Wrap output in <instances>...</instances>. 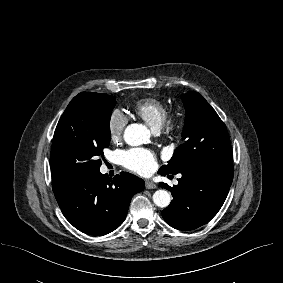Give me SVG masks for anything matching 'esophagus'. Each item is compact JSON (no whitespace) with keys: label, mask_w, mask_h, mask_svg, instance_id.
<instances>
[{"label":"esophagus","mask_w":283,"mask_h":283,"mask_svg":"<svg viewBox=\"0 0 283 283\" xmlns=\"http://www.w3.org/2000/svg\"><path fill=\"white\" fill-rule=\"evenodd\" d=\"M145 187L146 189H155L157 188V185L151 181H146L145 182Z\"/></svg>","instance_id":"obj_1"}]
</instances>
